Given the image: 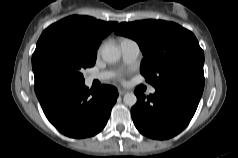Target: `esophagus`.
Instances as JSON below:
<instances>
[{
  "instance_id": "obj_1",
  "label": "esophagus",
  "mask_w": 238,
  "mask_h": 158,
  "mask_svg": "<svg viewBox=\"0 0 238 158\" xmlns=\"http://www.w3.org/2000/svg\"><path fill=\"white\" fill-rule=\"evenodd\" d=\"M118 92H119V95H120V96H123L124 94L127 93V91L124 90V89H119Z\"/></svg>"
}]
</instances>
